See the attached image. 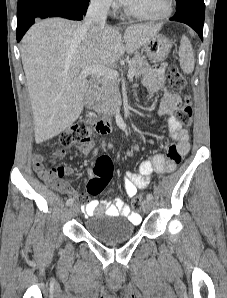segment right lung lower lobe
<instances>
[{"label": "right lung lower lobe", "instance_id": "98d812e1", "mask_svg": "<svg viewBox=\"0 0 227 298\" xmlns=\"http://www.w3.org/2000/svg\"><path fill=\"white\" fill-rule=\"evenodd\" d=\"M88 2L81 0H34L17 9V41L38 18L63 17L82 20L88 8Z\"/></svg>", "mask_w": 227, "mask_h": 298}]
</instances>
